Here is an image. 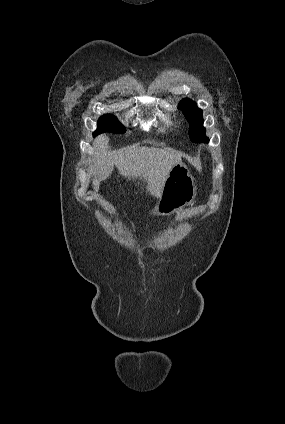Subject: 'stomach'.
<instances>
[{
    "mask_svg": "<svg viewBox=\"0 0 285 424\" xmlns=\"http://www.w3.org/2000/svg\"><path fill=\"white\" fill-rule=\"evenodd\" d=\"M196 196V185L187 165L178 162L170 170L162 193L149 215L167 216L190 205Z\"/></svg>",
    "mask_w": 285,
    "mask_h": 424,
    "instance_id": "0dacf381",
    "label": "stomach"
}]
</instances>
